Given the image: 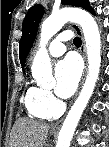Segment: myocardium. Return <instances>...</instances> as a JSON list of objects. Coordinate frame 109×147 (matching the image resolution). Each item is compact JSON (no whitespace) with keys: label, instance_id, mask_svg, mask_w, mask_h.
I'll list each match as a JSON object with an SVG mask.
<instances>
[{"label":"myocardium","instance_id":"f54148a6","mask_svg":"<svg viewBox=\"0 0 109 147\" xmlns=\"http://www.w3.org/2000/svg\"><path fill=\"white\" fill-rule=\"evenodd\" d=\"M60 111H58L57 116L59 115Z\"/></svg>","mask_w":109,"mask_h":147}]
</instances>
